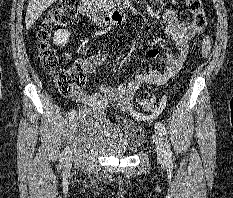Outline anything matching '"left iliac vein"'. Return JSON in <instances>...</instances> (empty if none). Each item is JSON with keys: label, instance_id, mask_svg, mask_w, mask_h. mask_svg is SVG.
Listing matches in <instances>:
<instances>
[{"label": "left iliac vein", "instance_id": "left-iliac-vein-1", "mask_svg": "<svg viewBox=\"0 0 233 198\" xmlns=\"http://www.w3.org/2000/svg\"><path fill=\"white\" fill-rule=\"evenodd\" d=\"M153 139L156 145L157 158L160 162H164L166 159L162 134L159 130H155Z\"/></svg>", "mask_w": 233, "mask_h": 198}]
</instances>
